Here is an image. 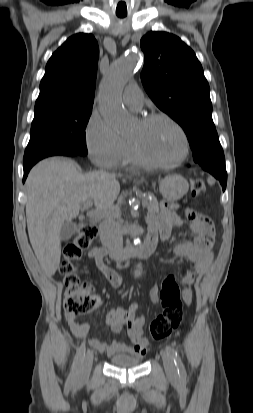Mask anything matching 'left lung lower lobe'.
I'll return each instance as SVG.
<instances>
[{"instance_id": "obj_1", "label": "left lung lower lobe", "mask_w": 253, "mask_h": 413, "mask_svg": "<svg viewBox=\"0 0 253 413\" xmlns=\"http://www.w3.org/2000/svg\"><path fill=\"white\" fill-rule=\"evenodd\" d=\"M203 170L211 173L216 179H218L222 185L223 191L226 189L227 172L224 165H207L202 167Z\"/></svg>"}]
</instances>
